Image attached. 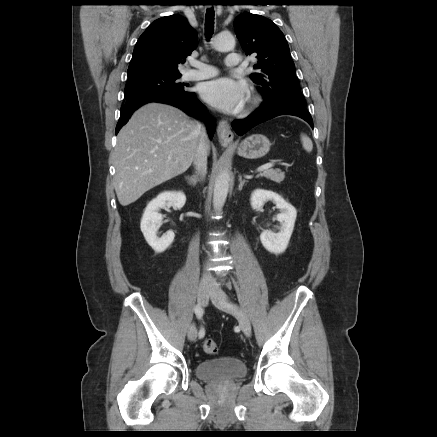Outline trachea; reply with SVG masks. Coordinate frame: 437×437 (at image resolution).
Masks as SVG:
<instances>
[{"instance_id": "1", "label": "trachea", "mask_w": 437, "mask_h": 437, "mask_svg": "<svg viewBox=\"0 0 437 437\" xmlns=\"http://www.w3.org/2000/svg\"><path fill=\"white\" fill-rule=\"evenodd\" d=\"M214 32V9L210 8L205 15V35L209 40Z\"/></svg>"}]
</instances>
